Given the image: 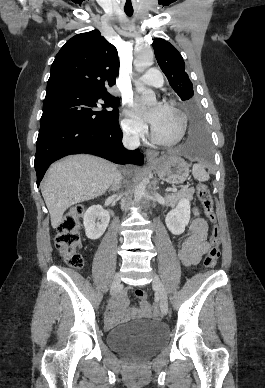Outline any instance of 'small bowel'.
<instances>
[{
	"label": "small bowel",
	"mask_w": 265,
	"mask_h": 388,
	"mask_svg": "<svg viewBox=\"0 0 265 388\" xmlns=\"http://www.w3.org/2000/svg\"><path fill=\"white\" fill-rule=\"evenodd\" d=\"M195 218L190 224V234L182 241L179 247V258L185 266H193L201 261L202 256L208 251L209 244L206 241L207 224L195 210ZM128 304L127 291H121L107 306L105 321L108 327L124 321V308ZM144 312L148 308L144 306Z\"/></svg>",
	"instance_id": "1"
}]
</instances>
